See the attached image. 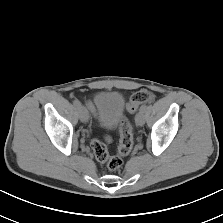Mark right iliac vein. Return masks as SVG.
<instances>
[{
	"label": "right iliac vein",
	"instance_id": "1",
	"mask_svg": "<svg viewBox=\"0 0 223 223\" xmlns=\"http://www.w3.org/2000/svg\"><path fill=\"white\" fill-rule=\"evenodd\" d=\"M78 111H79L80 120L82 122L86 123L88 121V118H89V114H88L87 109L84 106L80 105L79 108H78Z\"/></svg>",
	"mask_w": 223,
	"mask_h": 223
}]
</instances>
